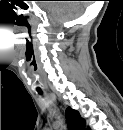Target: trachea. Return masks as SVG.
<instances>
[{
  "mask_svg": "<svg viewBox=\"0 0 123 130\" xmlns=\"http://www.w3.org/2000/svg\"><path fill=\"white\" fill-rule=\"evenodd\" d=\"M40 95H42V93L41 92H38Z\"/></svg>",
  "mask_w": 123,
  "mask_h": 130,
  "instance_id": "obj_1",
  "label": "trachea"
}]
</instances>
